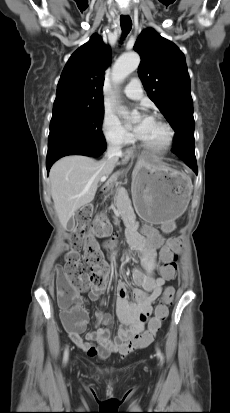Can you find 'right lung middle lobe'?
Segmentation results:
<instances>
[{
	"mask_svg": "<svg viewBox=\"0 0 230 413\" xmlns=\"http://www.w3.org/2000/svg\"><path fill=\"white\" fill-rule=\"evenodd\" d=\"M103 117L104 108L53 113L47 155L69 146L106 145L101 130Z\"/></svg>",
	"mask_w": 230,
	"mask_h": 413,
	"instance_id": "dd1d6c3e",
	"label": "right lung middle lobe"
}]
</instances>
